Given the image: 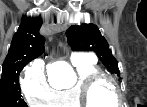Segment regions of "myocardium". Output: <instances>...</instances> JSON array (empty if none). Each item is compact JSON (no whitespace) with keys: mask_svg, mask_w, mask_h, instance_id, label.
Segmentation results:
<instances>
[{"mask_svg":"<svg viewBox=\"0 0 147 107\" xmlns=\"http://www.w3.org/2000/svg\"><path fill=\"white\" fill-rule=\"evenodd\" d=\"M103 82H108L113 86L117 96V103H122L121 92L116 80L105 73L99 72L83 80L78 87V96L82 107H94L91 102V93L98 84Z\"/></svg>","mask_w":147,"mask_h":107,"instance_id":"obj_1","label":"myocardium"}]
</instances>
